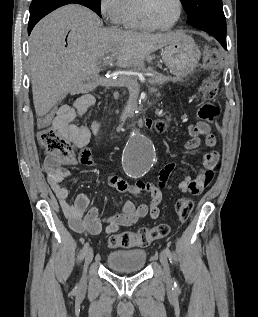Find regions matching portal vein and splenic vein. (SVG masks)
Wrapping results in <instances>:
<instances>
[{
    "instance_id": "portal-vein-and-splenic-vein-1",
    "label": "portal vein and splenic vein",
    "mask_w": 258,
    "mask_h": 317,
    "mask_svg": "<svg viewBox=\"0 0 258 317\" xmlns=\"http://www.w3.org/2000/svg\"><path fill=\"white\" fill-rule=\"evenodd\" d=\"M111 56H113V58H115L116 54H111ZM111 56H106V58H109V60H110ZM112 62H113V60H110L109 64H112Z\"/></svg>"
}]
</instances>
